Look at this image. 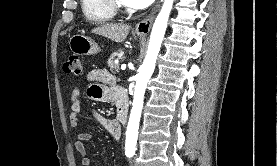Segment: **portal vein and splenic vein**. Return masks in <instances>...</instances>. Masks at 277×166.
<instances>
[{
  "instance_id": "obj_1",
  "label": "portal vein and splenic vein",
  "mask_w": 277,
  "mask_h": 166,
  "mask_svg": "<svg viewBox=\"0 0 277 166\" xmlns=\"http://www.w3.org/2000/svg\"><path fill=\"white\" fill-rule=\"evenodd\" d=\"M126 68V65L125 64H122L121 65V69L124 70Z\"/></svg>"
}]
</instances>
